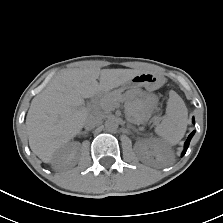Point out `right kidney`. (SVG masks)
Returning <instances> with one entry per match:
<instances>
[{
  "label": "right kidney",
  "instance_id": "obj_1",
  "mask_svg": "<svg viewBox=\"0 0 223 223\" xmlns=\"http://www.w3.org/2000/svg\"><path fill=\"white\" fill-rule=\"evenodd\" d=\"M78 146V143L72 142L58 149L52 160V165L54 168L60 169L74 166L76 164Z\"/></svg>",
  "mask_w": 223,
  "mask_h": 223
}]
</instances>
